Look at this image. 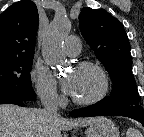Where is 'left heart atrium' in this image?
<instances>
[{
	"mask_svg": "<svg viewBox=\"0 0 144 137\" xmlns=\"http://www.w3.org/2000/svg\"><path fill=\"white\" fill-rule=\"evenodd\" d=\"M63 88L65 90L66 93L72 95L75 89V77L73 75H69L67 76L64 80H63Z\"/></svg>",
	"mask_w": 144,
	"mask_h": 137,
	"instance_id": "obj_1",
	"label": "left heart atrium"
}]
</instances>
